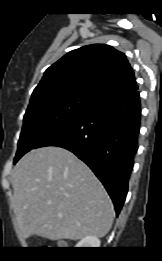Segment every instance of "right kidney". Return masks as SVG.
<instances>
[{"label": "right kidney", "instance_id": "obj_1", "mask_svg": "<svg viewBox=\"0 0 162 261\" xmlns=\"http://www.w3.org/2000/svg\"><path fill=\"white\" fill-rule=\"evenodd\" d=\"M77 248H98L100 247V240L95 236H87L80 240L77 245Z\"/></svg>", "mask_w": 162, "mask_h": 261}]
</instances>
